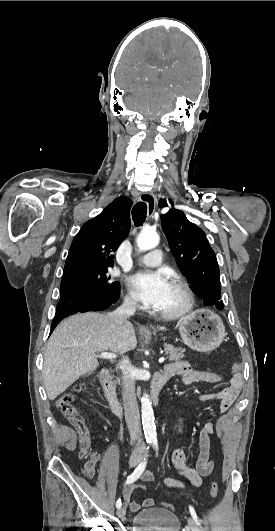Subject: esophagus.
<instances>
[{
    "label": "esophagus",
    "mask_w": 275,
    "mask_h": 531,
    "mask_svg": "<svg viewBox=\"0 0 275 531\" xmlns=\"http://www.w3.org/2000/svg\"><path fill=\"white\" fill-rule=\"evenodd\" d=\"M140 199L147 204L148 216L152 217L156 208V197L153 193H143Z\"/></svg>",
    "instance_id": "obj_1"
}]
</instances>
